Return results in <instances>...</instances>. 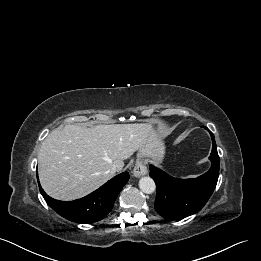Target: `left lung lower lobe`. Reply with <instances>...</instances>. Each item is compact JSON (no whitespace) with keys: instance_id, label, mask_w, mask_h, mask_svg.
Segmentation results:
<instances>
[{"instance_id":"left-lung-lower-lobe-1","label":"left lung lower lobe","mask_w":261,"mask_h":261,"mask_svg":"<svg viewBox=\"0 0 261 261\" xmlns=\"http://www.w3.org/2000/svg\"><path fill=\"white\" fill-rule=\"evenodd\" d=\"M209 132L213 144L209 157L212 165L198 178L177 179L150 165L149 175L155 181L157 188L155 210L163 218L181 219L197 213L212 195L219 176V156L214 135Z\"/></svg>"}]
</instances>
